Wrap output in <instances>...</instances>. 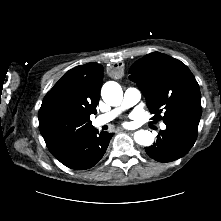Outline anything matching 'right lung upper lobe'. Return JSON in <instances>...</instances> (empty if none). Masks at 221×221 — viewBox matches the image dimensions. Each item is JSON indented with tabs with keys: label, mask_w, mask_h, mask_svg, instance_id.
<instances>
[{
	"label": "right lung upper lobe",
	"mask_w": 221,
	"mask_h": 221,
	"mask_svg": "<svg viewBox=\"0 0 221 221\" xmlns=\"http://www.w3.org/2000/svg\"><path fill=\"white\" fill-rule=\"evenodd\" d=\"M103 67L88 63L69 70L46 94L39 110V128L50 152L57 156L93 130Z\"/></svg>",
	"instance_id": "right-lung-upper-lobe-1"
}]
</instances>
